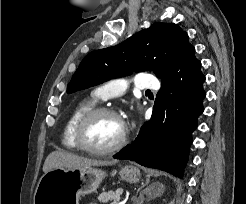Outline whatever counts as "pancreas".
<instances>
[{
  "mask_svg": "<svg viewBox=\"0 0 246 204\" xmlns=\"http://www.w3.org/2000/svg\"><path fill=\"white\" fill-rule=\"evenodd\" d=\"M121 194H122V189H117L116 191L103 192L98 196V200L102 203H108L109 201H116L120 199Z\"/></svg>",
  "mask_w": 246,
  "mask_h": 204,
  "instance_id": "1",
  "label": "pancreas"
}]
</instances>
